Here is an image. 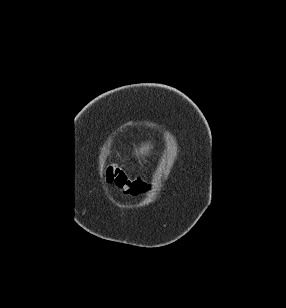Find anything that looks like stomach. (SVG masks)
Listing matches in <instances>:
<instances>
[{
  "label": "stomach",
  "mask_w": 286,
  "mask_h": 308,
  "mask_svg": "<svg viewBox=\"0 0 286 308\" xmlns=\"http://www.w3.org/2000/svg\"><path fill=\"white\" fill-rule=\"evenodd\" d=\"M122 147L123 149H135L136 144L135 142H123Z\"/></svg>",
  "instance_id": "1"
}]
</instances>
